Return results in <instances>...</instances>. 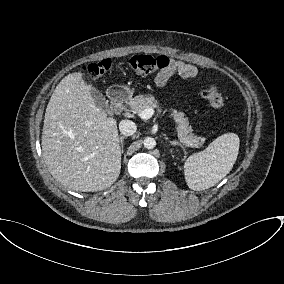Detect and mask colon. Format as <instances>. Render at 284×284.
<instances>
[{
	"instance_id": "obj_1",
	"label": "colon",
	"mask_w": 284,
	"mask_h": 284,
	"mask_svg": "<svg viewBox=\"0 0 284 284\" xmlns=\"http://www.w3.org/2000/svg\"><path fill=\"white\" fill-rule=\"evenodd\" d=\"M131 69L140 76H146L159 70L167 68L170 60L165 56H152L149 54H138L133 56L129 61ZM110 68L108 60H102L97 63L89 64L85 70L94 78H100L107 73ZM201 95L212 107L222 109L224 100L215 87L205 86L201 89Z\"/></svg>"
}]
</instances>
